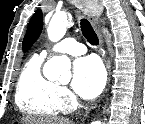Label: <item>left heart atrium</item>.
Wrapping results in <instances>:
<instances>
[{
  "mask_svg": "<svg viewBox=\"0 0 145 124\" xmlns=\"http://www.w3.org/2000/svg\"><path fill=\"white\" fill-rule=\"evenodd\" d=\"M105 84V72L100 61L94 56L77 59L73 64L72 86L83 98L96 97Z\"/></svg>",
  "mask_w": 145,
  "mask_h": 124,
  "instance_id": "1",
  "label": "left heart atrium"
}]
</instances>
